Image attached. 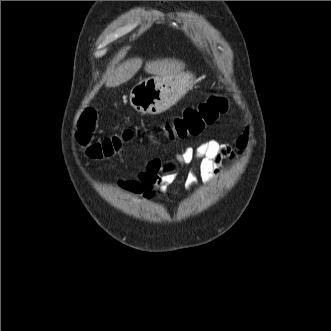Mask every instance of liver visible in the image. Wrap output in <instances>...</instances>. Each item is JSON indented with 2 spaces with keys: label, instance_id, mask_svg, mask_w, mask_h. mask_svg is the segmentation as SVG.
Here are the masks:
<instances>
[{
  "label": "liver",
  "instance_id": "obj_1",
  "mask_svg": "<svg viewBox=\"0 0 331 331\" xmlns=\"http://www.w3.org/2000/svg\"><path fill=\"white\" fill-rule=\"evenodd\" d=\"M141 58L128 59L116 68H109L106 72L103 81L107 87H117L129 81L141 68ZM185 64L182 61L165 58L146 62L145 71L148 74L163 78H172L180 73H183Z\"/></svg>",
  "mask_w": 331,
  "mask_h": 331
}]
</instances>
